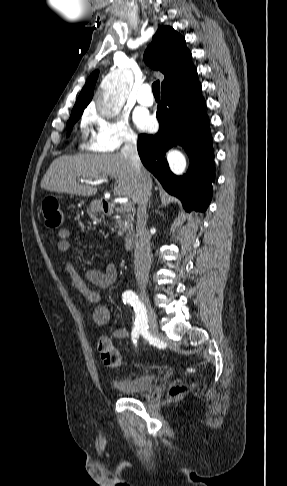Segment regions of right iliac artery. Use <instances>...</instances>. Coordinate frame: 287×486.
<instances>
[{"instance_id": "82829eb1", "label": "right iliac artery", "mask_w": 287, "mask_h": 486, "mask_svg": "<svg viewBox=\"0 0 287 486\" xmlns=\"http://www.w3.org/2000/svg\"><path fill=\"white\" fill-rule=\"evenodd\" d=\"M123 302L125 304H130L135 311V326L132 330V339L136 343V339L141 334L145 339L150 340L152 337L148 332V320L146 309L139 300L138 296L132 290H127L123 293Z\"/></svg>"}]
</instances>
